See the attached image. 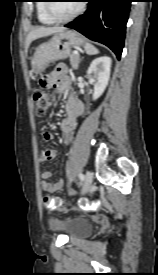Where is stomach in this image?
Instances as JSON below:
<instances>
[{"label": "stomach", "mask_w": 158, "mask_h": 275, "mask_svg": "<svg viewBox=\"0 0 158 275\" xmlns=\"http://www.w3.org/2000/svg\"><path fill=\"white\" fill-rule=\"evenodd\" d=\"M85 45V39L73 30L56 33L49 41L36 48L32 57V69L36 73L43 72L50 63L66 59L73 46Z\"/></svg>", "instance_id": "stomach-1"}]
</instances>
